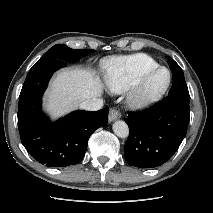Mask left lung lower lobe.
Returning <instances> with one entry per match:
<instances>
[{
    "mask_svg": "<svg viewBox=\"0 0 213 213\" xmlns=\"http://www.w3.org/2000/svg\"><path fill=\"white\" fill-rule=\"evenodd\" d=\"M189 114V98L177 95H168L157 105L129 113L125 119L129 127L124 146L127 162L138 168L166 163L186 135Z\"/></svg>",
    "mask_w": 213,
    "mask_h": 213,
    "instance_id": "left-lung-lower-lobe-1",
    "label": "left lung lower lobe"
}]
</instances>
